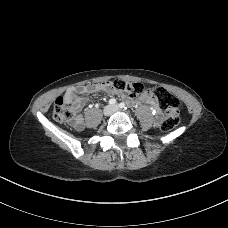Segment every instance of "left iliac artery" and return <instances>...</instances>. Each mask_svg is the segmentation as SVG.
I'll return each mask as SVG.
<instances>
[{
  "instance_id": "left-iliac-artery-1",
  "label": "left iliac artery",
  "mask_w": 228,
  "mask_h": 228,
  "mask_svg": "<svg viewBox=\"0 0 228 228\" xmlns=\"http://www.w3.org/2000/svg\"><path fill=\"white\" fill-rule=\"evenodd\" d=\"M119 107H120V108H126L124 103H120V104H119Z\"/></svg>"
}]
</instances>
